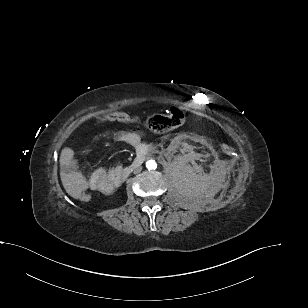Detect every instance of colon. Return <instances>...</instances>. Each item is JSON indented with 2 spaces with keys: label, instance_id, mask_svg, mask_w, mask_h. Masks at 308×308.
I'll list each match as a JSON object with an SVG mask.
<instances>
[{
  "label": "colon",
  "instance_id": "5ec220e1",
  "mask_svg": "<svg viewBox=\"0 0 308 308\" xmlns=\"http://www.w3.org/2000/svg\"><path fill=\"white\" fill-rule=\"evenodd\" d=\"M102 121H119V122H138L143 124L149 130L162 133L181 126L184 123L185 117L181 110L177 108H172L165 113H158L148 116L145 119H140L139 117L132 116L125 112H115L105 115L101 118ZM222 151L227 155L234 154V148L228 144H223L221 146ZM75 198L81 202H89L91 200V195L88 191H83L75 195Z\"/></svg>",
  "mask_w": 308,
  "mask_h": 308
}]
</instances>
